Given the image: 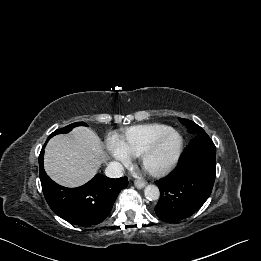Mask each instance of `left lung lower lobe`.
<instances>
[{"label": "left lung lower lobe", "instance_id": "1", "mask_svg": "<svg viewBox=\"0 0 261 261\" xmlns=\"http://www.w3.org/2000/svg\"><path fill=\"white\" fill-rule=\"evenodd\" d=\"M215 175L216 147L210 137L201 132L185 148L177 168L156 182L160 190L156 215L168 223L191 216L208 199Z\"/></svg>", "mask_w": 261, "mask_h": 261}]
</instances>
